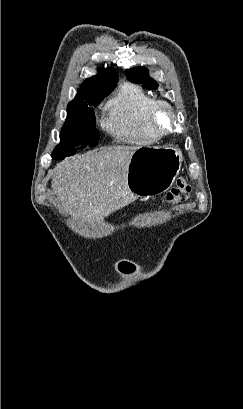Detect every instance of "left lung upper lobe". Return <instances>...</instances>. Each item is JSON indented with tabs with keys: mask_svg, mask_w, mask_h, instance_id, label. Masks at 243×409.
<instances>
[{
	"mask_svg": "<svg viewBox=\"0 0 243 409\" xmlns=\"http://www.w3.org/2000/svg\"><path fill=\"white\" fill-rule=\"evenodd\" d=\"M125 74L127 78L133 83L143 84L150 89L158 88L157 82L150 78L148 70L145 67L126 70Z\"/></svg>",
	"mask_w": 243,
	"mask_h": 409,
	"instance_id": "5c2ea615",
	"label": "left lung upper lobe"
}]
</instances>
